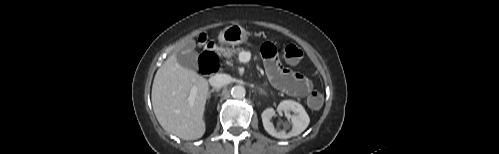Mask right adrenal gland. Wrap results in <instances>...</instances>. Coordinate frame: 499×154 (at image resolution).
<instances>
[{
	"label": "right adrenal gland",
	"instance_id": "2a0ac1e0",
	"mask_svg": "<svg viewBox=\"0 0 499 154\" xmlns=\"http://www.w3.org/2000/svg\"><path fill=\"white\" fill-rule=\"evenodd\" d=\"M213 92H219V89L218 88H213L211 89L209 92H208V95H207V98L209 99L211 97V93Z\"/></svg>",
	"mask_w": 499,
	"mask_h": 154
}]
</instances>
